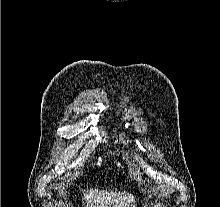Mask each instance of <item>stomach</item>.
Instances as JSON below:
<instances>
[{
  "label": "stomach",
  "mask_w": 220,
  "mask_h": 207,
  "mask_svg": "<svg viewBox=\"0 0 220 207\" xmlns=\"http://www.w3.org/2000/svg\"><path fill=\"white\" fill-rule=\"evenodd\" d=\"M132 207H136V205L135 204H133V205H131Z\"/></svg>",
  "instance_id": "0dacf381"
}]
</instances>
